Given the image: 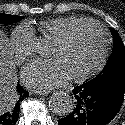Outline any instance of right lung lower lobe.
Returning a JSON list of instances; mask_svg holds the SVG:
<instances>
[{"instance_id": "obj_1", "label": "right lung lower lobe", "mask_w": 125, "mask_h": 125, "mask_svg": "<svg viewBox=\"0 0 125 125\" xmlns=\"http://www.w3.org/2000/svg\"><path fill=\"white\" fill-rule=\"evenodd\" d=\"M17 92H18L19 100L13 101V103H10L5 108V110L2 113H0V125L16 124L19 116V109H20L19 102L21 99L29 96V92L22 89V87L19 84L17 85Z\"/></svg>"}]
</instances>
